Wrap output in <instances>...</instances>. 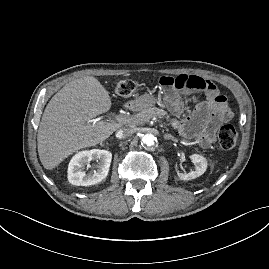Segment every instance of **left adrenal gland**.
Segmentation results:
<instances>
[{
	"mask_svg": "<svg viewBox=\"0 0 269 269\" xmlns=\"http://www.w3.org/2000/svg\"><path fill=\"white\" fill-rule=\"evenodd\" d=\"M164 140H172L174 142H178V140L176 138H174V136H172L171 134H165Z\"/></svg>",
	"mask_w": 269,
	"mask_h": 269,
	"instance_id": "1",
	"label": "left adrenal gland"
}]
</instances>
